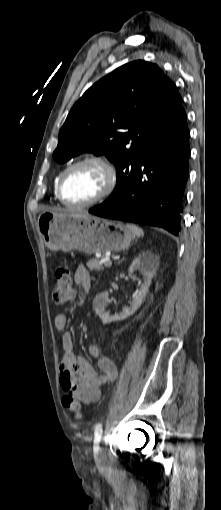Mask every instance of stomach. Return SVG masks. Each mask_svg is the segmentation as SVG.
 Segmentation results:
<instances>
[{
	"instance_id": "obj_1",
	"label": "stomach",
	"mask_w": 221,
	"mask_h": 510,
	"mask_svg": "<svg viewBox=\"0 0 221 510\" xmlns=\"http://www.w3.org/2000/svg\"><path fill=\"white\" fill-rule=\"evenodd\" d=\"M37 222L46 246L52 251L118 252L127 248L134 238L122 222L88 213L42 212Z\"/></svg>"
}]
</instances>
